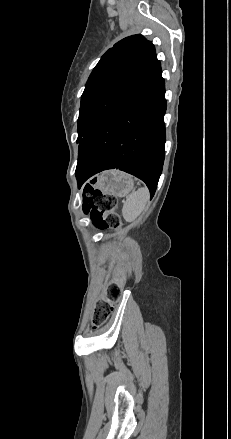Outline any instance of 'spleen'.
I'll list each match as a JSON object with an SVG mask.
<instances>
[{"label": "spleen", "instance_id": "obj_1", "mask_svg": "<svg viewBox=\"0 0 231 439\" xmlns=\"http://www.w3.org/2000/svg\"><path fill=\"white\" fill-rule=\"evenodd\" d=\"M149 199V190L145 187L132 192L124 202L122 214L125 220L135 221L145 208Z\"/></svg>", "mask_w": 231, "mask_h": 439}]
</instances>
